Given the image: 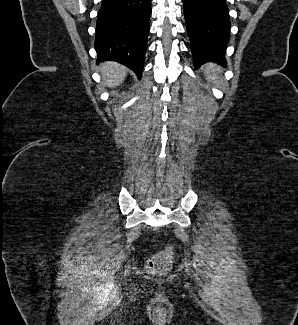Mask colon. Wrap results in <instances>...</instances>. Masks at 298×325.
<instances>
[{
    "mask_svg": "<svg viewBox=\"0 0 298 325\" xmlns=\"http://www.w3.org/2000/svg\"><path fill=\"white\" fill-rule=\"evenodd\" d=\"M171 267V256L169 253H161L153 257L148 263V269L152 273L163 274Z\"/></svg>",
    "mask_w": 298,
    "mask_h": 325,
    "instance_id": "colon-1",
    "label": "colon"
}]
</instances>
